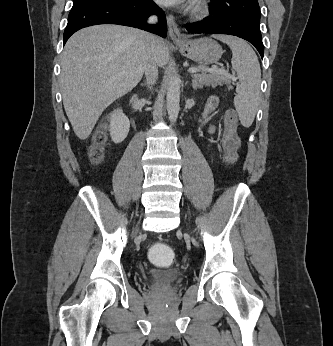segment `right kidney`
Returning a JSON list of instances; mask_svg holds the SVG:
<instances>
[{
  "mask_svg": "<svg viewBox=\"0 0 333 346\" xmlns=\"http://www.w3.org/2000/svg\"><path fill=\"white\" fill-rule=\"evenodd\" d=\"M130 121L121 109H117L110 117V136L114 143H121L128 135Z\"/></svg>",
  "mask_w": 333,
  "mask_h": 346,
  "instance_id": "right-kidney-1",
  "label": "right kidney"
}]
</instances>
